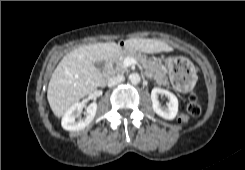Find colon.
Segmentation results:
<instances>
[{
  "instance_id": "colon-1",
  "label": "colon",
  "mask_w": 245,
  "mask_h": 170,
  "mask_svg": "<svg viewBox=\"0 0 245 170\" xmlns=\"http://www.w3.org/2000/svg\"><path fill=\"white\" fill-rule=\"evenodd\" d=\"M191 63L184 58H177L172 69V81L176 86L185 83L191 72ZM201 113V106L194 94H190L186 111L180 113L178 117L179 123L186 122L189 117H196Z\"/></svg>"
}]
</instances>
